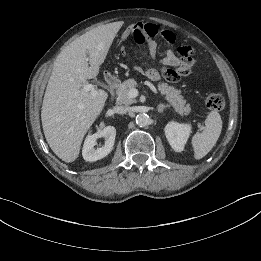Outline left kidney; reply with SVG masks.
<instances>
[{"mask_svg": "<svg viewBox=\"0 0 261 261\" xmlns=\"http://www.w3.org/2000/svg\"><path fill=\"white\" fill-rule=\"evenodd\" d=\"M164 131L171 147L176 152L183 151L191 133V126L189 124H180L172 121L165 126Z\"/></svg>", "mask_w": 261, "mask_h": 261, "instance_id": "1", "label": "left kidney"}]
</instances>
